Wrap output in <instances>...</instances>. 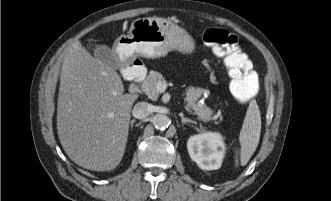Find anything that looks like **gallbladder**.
<instances>
[{
  "mask_svg": "<svg viewBox=\"0 0 331 201\" xmlns=\"http://www.w3.org/2000/svg\"><path fill=\"white\" fill-rule=\"evenodd\" d=\"M94 56L104 64L112 67L113 69H121L123 64L118 58V55L113 52L111 48L103 44L93 45Z\"/></svg>",
  "mask_w": 331,
  "mask_h": 201,
  "instance_id": "obj_1",
  "label": "gallbladder"
}]
</instances>
